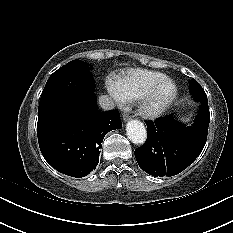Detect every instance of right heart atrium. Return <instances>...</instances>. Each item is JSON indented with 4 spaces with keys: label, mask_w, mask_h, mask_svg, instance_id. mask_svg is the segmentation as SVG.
I'll return each instance as SVG.
<instances>
[{
    "label": "right heart atrium",
    "mask_w": 233,
    "mask_h": 233,
    "mask_svg": "<svg viewBox=\"0 0 233 233\" xmlns=\"http://www.w3.org/2000/svg\"><path fill=\"white\" fill-rule=\"evenodd\" d=\"M107 87H108V90L111 93L112 97L116 101V103L120 106L123 105L124 99H122L121 96L116 92V90L114 88V83L108 82Z\"/></svg>",
    "instance_id": "d8ad5b80"
}]
</instances>
